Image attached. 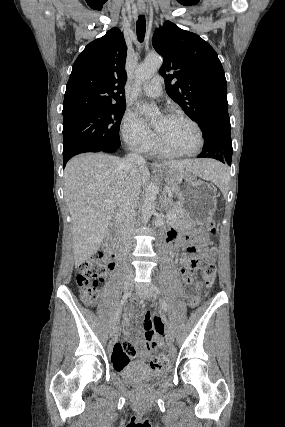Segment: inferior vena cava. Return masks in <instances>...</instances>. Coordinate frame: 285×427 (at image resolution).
<instances>
[{
  "mask_svg": "<svg viewBox=\"0 0 285 427\" xmlns=\"http://www.w3.org/2000/svg\"><path fill=\"white\" fill-rule=\"evenodd\" d=\"M145 164V159L135 153H129L125 159V165L129 169H134L137 166ZM136 200L134 197H124L118 205L116 213V220L119 225V230L122 239L123 248L129 251L132 247V232L135 224L134 209L136 207ZM132 273L131 269H128Z\"/></svg>",
  "mask_w": 285,
  "mask_h": 427,
  "instance_id": "obj_1",
  "label": "inferior vena cava"
}]
</instances>
